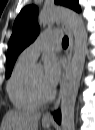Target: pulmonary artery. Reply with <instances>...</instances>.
Segmentation results:
<instances>
[{
    "instance_id": "pulmonary-artery-1",
    "label": "pulmonary artery",
    "mask_w": 95,
    "mask_h": 130,
    "mask_svg": "<svg viewBox=\"0 0 95 130\" xmlns=\"http://www.w3.org/2000/svg\"><path fill=\"white\" fill-rule=\"evenodd\" d=\"M61 40L60 31H44L32 42L20 55V59L34 63L40 53L50 44L58 43Z\"/></svg>"
}]
</instances>
